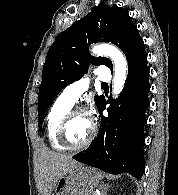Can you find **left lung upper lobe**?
<instances>
[{
  "label": "left lung upper lobe",
  "mask_w": 178,
  "mask_h": 195,
  "mask_svg": "<svg viewBox=\"0 0 178 195\" xmlns=\"http://www.w3.org/2000/svg\"><path fill=\"white\" fill-rule=\"evenodd\" d=\"M96 42L117 45L128 63L145 52L144 42L127 10L117 5L108 6L104 2L93 7L84 18L60 33L48 50L39 88V124L43 123L45 111L58 93L83 77L90 63L103 64L113 70L110 59L89 55L88 45ZM102 98L94 97L97 108Z\"/></svg>",
  "instance_id": "obj_1"
}]
</instances>
